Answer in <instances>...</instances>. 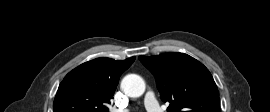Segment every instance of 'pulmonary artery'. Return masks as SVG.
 Listing matches in <instances>:
<instances>
[{"instance_id":"obj_1","label":"pulmonary artery","mask_w":270,"mask_h":112,"mask_svg":"<svg viewBox=\"0 0 270 112\" xmlns=\"http://www.w3.org/2000/svg\"><path fill=\"white\" fill-rule=\"evenodd\" d=\"M145 107L148 112H163L162 108L158 104L155 95L152 92H147L145 95ZM117 112H127L126 110H119Z\"/></svg>"}]
</instances>
